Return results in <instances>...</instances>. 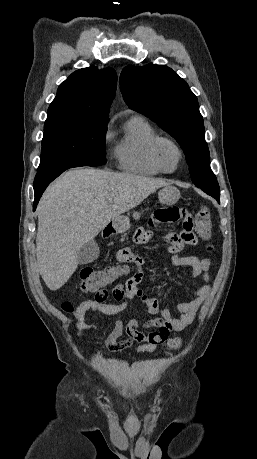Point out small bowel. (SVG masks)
Masks as SVG:
<instances>
[{"label":"small bowel","mask_w":257,"mask_h":459,"mask_svg":"<svg viewBox=\"0 0 257 459\" xmlns=\"http://www.w3.org/2000/svg\"><path fill=\"white\" fill-rule=\"evenodd\" d=\"M176 222H183V232H173L165 237L167 257H171V264L175 267H188V279L202 277L206 282L210 280L212 262L208 258L184 256L185 247H196V229L193 215L189 205H155L154 213L146 214L147 226H175ZM131 237L132 244L119 246L116 249L117 264H138V271L124 284L115 285L112 290L113 297L118 303H107L106 300L98 301L96 298L82 301L75 309L73 316L77 320L76 335L81 337L84 332L98 329L97 325L87 320L92 312L113 316L125 311L134 299H138L145 307L148 314L154 318L141 322L131 319L128 322L116 320L106 339L105 345L110 351H121L130 348L134 342L141 343L137 347V354L152 353L157 346L164 343L170 332L182 331L197 316L202 304L210 293V286L205 284L189 292L191 300L177 304L173 309L161 306L158 298L148 295L139 287V269L148 261H155V252H147L142 247L133 244H151V229L149 227H134ZM154 239H159V234H154ZM107 294L109 295L108 291ZM176 312L174 315L173 312ZM150 330L144 333L142 330ZM126 334L127 338L122 339Z\"/></svg>","instance_id":"c3829d8e"}]
</instances>
